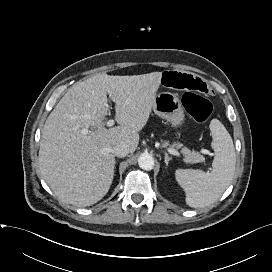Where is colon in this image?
Returning <instances> with one entry per match:
<instances>
[{
	"mask_svg": "<svg viewBox=\"0 0 272 272\" xmlns=\"http://www.w3.org/2000/svg\"><path fill=\"white\" fill-rule=\"evenodd\" d=\"M187 113L197 122H205L213 111L212 102L200 94L185 92L181 95Z\"/></svg>",
	"mask_w": 272,
	"mask_h": 272,
	"instance_id": "colon-1",
	"label": "colon"
}]
</instances>
